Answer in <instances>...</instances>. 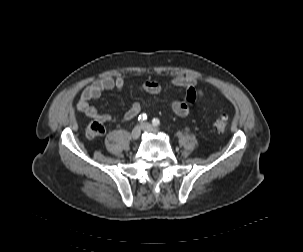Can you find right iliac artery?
<instances>
[{"instance_id": "obj_1", "label": "right iliac artery", "mask_w": 303, "mask_h": 252, "mask_svg": "<svg viewBox=\"0 0 303 252\" xmlns=\"http://www.w3.org/2000/svg\"><path fill=\"white\" fill-rule=\"evenodd\" d=\"M146 119H147V115L145 113L140 114L139 117H138L139 122H143Z\"/></svg>"}]
</instances>
